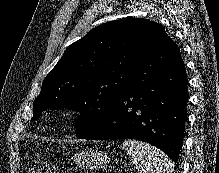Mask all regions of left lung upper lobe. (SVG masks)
Listing matches in <instances>:
<instances>
[{"instance_id": "left-lung-upper-lobe-1", "label": "left lung upper lobe", "mask_w": 219, "mask_h": 173, "mask_svg": "<svg viewBox=\"0 0 219 173\" xmlns=\"http://www.w3.org/2000/svg\"><path fill=\"white\" fill-rule=\"evenodd\" d=\"M156 22L125 18L95 27L71 44L42 83L32 121L46 109L81 113L76 136L94 132L133 88L136 68L166 39Z\"/></svg>"}]
</instances>
